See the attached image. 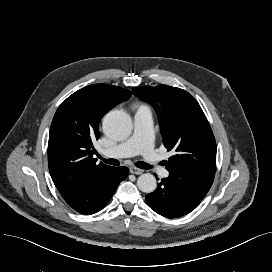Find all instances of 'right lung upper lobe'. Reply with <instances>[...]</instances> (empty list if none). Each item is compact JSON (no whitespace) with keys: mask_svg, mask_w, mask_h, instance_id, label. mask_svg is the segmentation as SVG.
I'll list each match as a JSON object with an SVG mask.
<instances>
[{"mask_svg":"<svg viewBox=\"0 0 272 272\" xmlns=\"http://www.w3.org/2000/svg\"><path fill=\"white\" fill-rule=\"evenodd\" d=\"M132 93L106 84L86 86L69 96L54 115L48 143L52 180L68 197L105 176L113 167L93 158V143L100 138L101 118Z\"/></svg>","mask_w":272,"mask_h":272,"instance_id":"1","label":"right lung upper lobe"}]
</instances>
